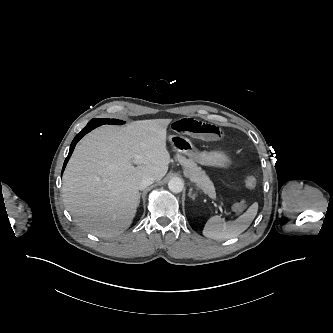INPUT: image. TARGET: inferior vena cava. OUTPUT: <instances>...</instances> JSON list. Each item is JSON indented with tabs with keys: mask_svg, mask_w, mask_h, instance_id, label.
Listing matches in <instances>:
<instances>
[{
	"mask_svg": "<svg viewBox=\"0 0 333 333\" xmlns=\"http://www.w3.org/2000/svg\"><path fill=\"white\" fill-rule=\"evenodd\" d=\"M154 181L155 180H154L153 177L145 176L140 180L138 187H139L140 190H144L145 188H147L148 186L153 184Z\"/></svg>",
	"mask_w": 333,
	"mask_h": 333,
	"instance_id": "inferior-vena-cava-1",
	"label": "inferior vena cava"
}]
</instances>
